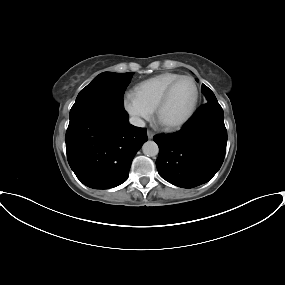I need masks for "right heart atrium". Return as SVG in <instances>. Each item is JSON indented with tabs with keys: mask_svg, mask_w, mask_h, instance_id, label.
I'll list each match as a JSON object with an SVG mask.
<instances>
[{
	"mask_svg": "<svg viewBox=\"0 0 285 285\" xmlns=\"http://www.w3.org/2000/svg\"><path fill=\"white\" fill-rule=\"evenodd\" d=\"M123 108L136 124L149 120L153 114L152 110L140 103L131 93H127L123 97Z\"/></svg>",
	"mask_w": 285,
	"mask_h": 285,
	"instance_id": "right-heart-atrium-1",
	"label": "right heart atrium"
}]
</instances>
